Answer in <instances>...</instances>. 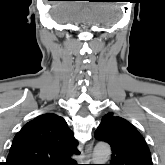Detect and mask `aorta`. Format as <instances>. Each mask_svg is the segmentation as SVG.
Segmentation results:
<instances>
[{
    "label": "aorta",
    "mask_w": 165,
    "mask_h": 165,
    "mask_svg": "<svg viewBox=\"0 0 165 165\" xmlns=\"http://www.w3.org/2000/svg\"><path fill=\"white\" fill-rule=\"evenodd\" d=\"M111 155V148L106 143H98L93 151V164H105Z\"/></svg>",
    "instance_id": "1"
}]
</instances>
